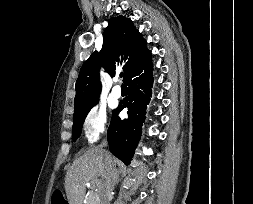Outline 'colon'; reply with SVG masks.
<instances>
[{
	"mask_svg": "<svg viewBox=\"0 0 253 204\" xmlns=\"http://www.w3.org/2000/svg\"><path fill=\"white\" fill-rule=\"evenodd\" d=\"M51 204H64V196L62 192L55 191L52 194Z\"/></svg>",
	"mask_w": 253,
	"mask_h": 204,
	"instance_id": "obj_1",
	"label": "colon"
}]
</instances>
